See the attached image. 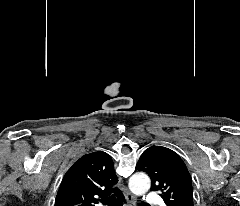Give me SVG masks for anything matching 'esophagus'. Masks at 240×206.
Returning <instances> with one entry per match:
<instances>
[{
	"label": "esophagus",
	"instance_id": "34e87169",
	"mask_svg": "<svg viewBox=\"0 0 240 206\" xmlns=\"http://www.w3.org/2000/svg\"><path fill=\"white\" fill-rule=\"evenodd\" d=\"M124 195L127 202V206H136L137 198L135 195H133L129 190H126Z\"/></svg>",
	"mask_w": 240,
	"mask_h": 206
}]
</instances>
